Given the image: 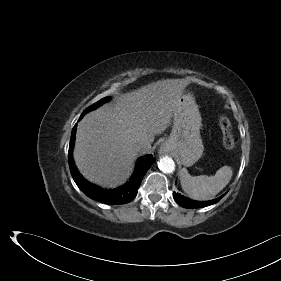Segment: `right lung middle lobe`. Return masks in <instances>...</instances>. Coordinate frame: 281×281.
I'll return each instance as SVG.
<instances>
[{
  "instance_id": "obj_1",
  "label": "right lung middle lobe",
  "mask_w": 281,
  "mask_h": 281,
  "mask_svg": "<svg viewBox=\"0 0 281 281\" xmlns=\"http://www.w3.org/2000/svg\"><path fill=\"white\" fill-rule=\"evenodd\" d=\"M109 99H110V97H105V98L101 99V100L98 101L97 103H95V104H93L92 106L86 108V109L83 111L82 115L86 114V113H87L88 111H90V110H93V109L97 108V107L100 106L101 104L107 102Z\"/></svg>"
}]
</instances>
